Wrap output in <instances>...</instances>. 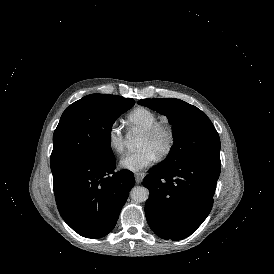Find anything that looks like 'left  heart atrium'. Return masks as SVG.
<instances>
[{
  "label": "left heart atrium",
  "instance_id": "left-heart-atrium-1",
  "mask_svg": "<svg viewBox=\"0 0 274 274\" xmlns=\"http://www.w3.org/2000/svg\"><path fill=\"white\" fill-rule=\"evenodd\" d=\"M156 154L149 148H139L134 152L123 154L118 161L121 169L138 172L151 166L156 160Z\"/></svg>",
  "mask_w": 274,
  "mask_h": 274
}]
</instances>
